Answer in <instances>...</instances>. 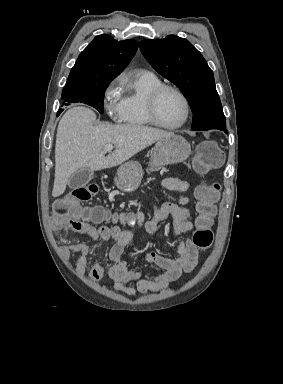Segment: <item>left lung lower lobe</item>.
<instances>
[{
    "label": "left lung lower lobe",
    "mask_w": 283,
    "mask_h": 384,
    "mask_svg": "<svg viewBox=\"0 0 283 384\" xmlns=\"http://www.w3.org/2000/svg\"><path fill=\"white\" fill-rule=\"evenodd\" d=\"M222 130H224L225 132H227V131L225 130V127H224Z\"/></svg>",
    "instance_id": "0a47b994"
}]
</instances>
